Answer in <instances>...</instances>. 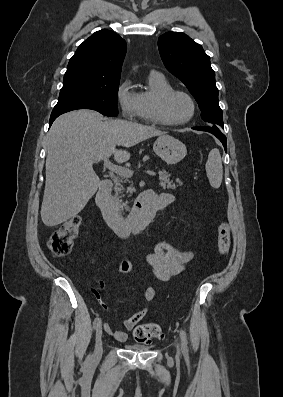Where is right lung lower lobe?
<instances>
[{"instance_id":"98d812e1","label":"right lung lower lobe","mask_w":283,"mask_h":397,"mask_svg":"<svg viewBox=\"0 0 283 397\" xmlns=\"http://www.w3.org/2000/svg\"><path fill=\"white\" fill-rule=\"evenodd\" d=\"M76 109H82V108H58V109H53L51 116H50V121H49V126L52 125L53 121L61 114L68 112V111H72V110H76Z\"/></svg>"}]
</instances>
